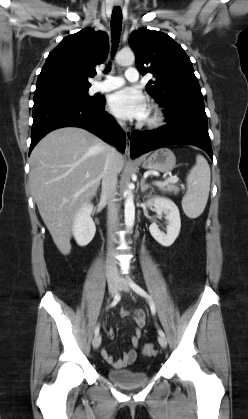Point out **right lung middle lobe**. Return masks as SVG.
<instances>
[{
	"instance_id": "1",
	"label": "right lung middle lobe",
	"mask_w": 248,
	"mask_h": 419,
	"mask_svg": "<svg viewBox=\"0 0 248 419\" xmlns=\"http://www.w3.org/2000/svg\"><path fill=\"white\" fill-rule=\"evenodd\" d=\"M50 97H65L71 99H78L89 103L98 102V99L88 96V89H65L46 93H39L34 95V101Z\"/></svg>"
}]
</instances>
